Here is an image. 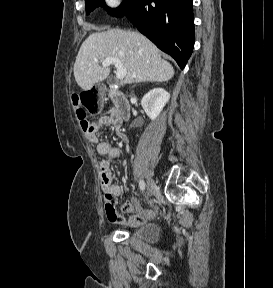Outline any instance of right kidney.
I'll use <instances>...</instances> for the list:
<instances>
[{
	"label": "right kidney",
	"instance_id": "1",
	"mask_svg": "<svg viewBox=\"0 0 273 288\" xmlns=\"http://www.w3.org/2000/svg\"><path fill=\"white\" fill-rule=\"evenodd\" d=\"M170 99V94L163 88H154L149 91L141 100V105L151 120H155L166 103Z\"/></svg>",
	"mask_w": 273,
	"mask_h": 288
}]
</instances>
